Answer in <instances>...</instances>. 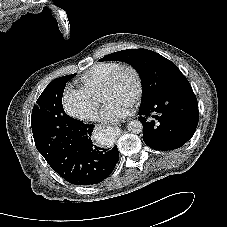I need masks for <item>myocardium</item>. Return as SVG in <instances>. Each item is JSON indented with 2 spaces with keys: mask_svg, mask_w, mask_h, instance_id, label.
<instances>
[{
  "mask_svg": "<svg viewBox=\"0 0 227 227\" xmlns=\"http://www.w3.org/2000/svg\"><path fill=\"white\" fill-rule=\"evenodd\" d=\"M124 72H130L134 76L135 93H134V96L132 99V103L136 104L139 102V100L142 97L144 84H143V77H142L141 72L134 65H131V64L120 65L105 81V83L103 84V86L101 88V91L113 87Z\"/></svg>",
  "mask_w": 227,
  "mask_h": 227,
  "instance_id": "f54148a6",
  "label": "myocardium"
}]
</instances>
